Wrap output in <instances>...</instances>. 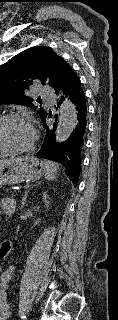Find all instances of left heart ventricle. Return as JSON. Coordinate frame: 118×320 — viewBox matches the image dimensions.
<instances>
[{
  "label": "left heart ventricle",
  "mask_w": 118,
  "mask_h": 320,
  "mask_svg": "<svg viewBox=\"0 0 118 320\" xmlns=\"http://www.w3.org/2000/svg\"><path fill=\"white\" fill-rule=\"evenodd\" d=\"M32 138V128L26 122L11 121L0 127V141L10 149L25 148Z\"/></svg>",
  "instance_id": "1"
}]
</instances>
